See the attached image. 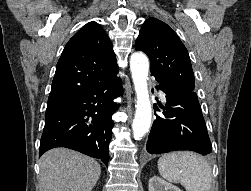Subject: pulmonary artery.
<instances>
[{"label": "pulmonary artery", "instance_id": "1", "mask_svg": "<svg viewBox=\"0 0 251 191\" xmlns=\"http://www.w3.org/2000/svg\"><path fill=\"white\" fill-rule=\"evenodd\" d=\"M161 98L164 99V93L160 91Z\"/></svg>", "mask_w": 251, "mask_h": 191}]
</instances>
